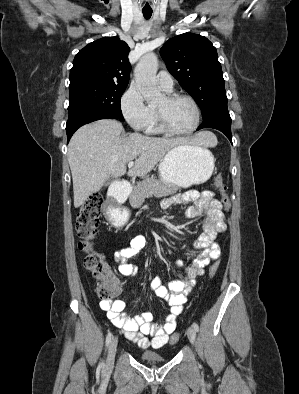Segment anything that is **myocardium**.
Masks as SVG:
<instances>
[{"label":"myocardium","instance_id":"1","mask_svg":"<svg viewBox=\"0 0 299 394\" xmlns=\"http://www.w3.org/2000/svg\"><path fill=\"white\" fill-rule=\"evenodd\" d=\"M165 99L167 102H173L178 99H185V100L189 101L195 110L196 120H195L194 125L190 129L185 130V131H179V130L172 128L170 126V124L168 123L164 112L162 110L156 108L155 111H156L158 124H159L160 128L162 129V131L165 133L171 134V135H188V134L193 133L199 127L200 121H201V111H200V107L197 104V102L191 96L186 95V94H180V93H169L165 96Z\"/></svg>","mask_w":299,"mask_h":394}]
</instances>
